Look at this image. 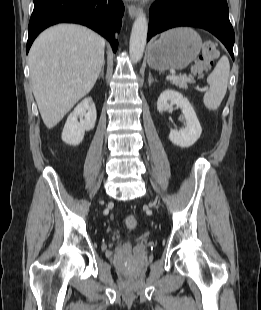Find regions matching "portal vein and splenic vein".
<instances>
[{"mask_svg":"<svg viewBox=\"0 0 261 310\" xmlns=\"http://www.w3.org/2000/svg\"><path fill=\"white\" fill-rule=\"evenodd\" d=\"M175 78H176L175 74H172V75H169V76L166 77L167 80H172V79H175ZM197 89L200 90V91H203V89H199V88H197Z\"/></svg>","mask_w":261,"mask_h":310,"instance_id":"obj_1","label":"portal vein and splenic vein"}]
</instances>
